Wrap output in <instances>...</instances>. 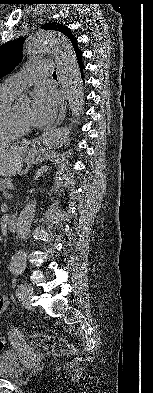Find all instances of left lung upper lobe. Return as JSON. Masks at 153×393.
Instances as JSON below:
<instances>
[{
	"mask_svg": "<svg viewBox=\"0 0 153 393\" xmlns=\"http://www.w3.org/2000/svg\"><path fill=\"white\" fill-rule=\"evenodd\" d=\"M42 28L45 30H55L63 33L65 36H67L70 39L75 49V52H79V49L77 47V40L72 35V32L66 25L57 22H50L44 24ZM21 44H22V40L19 39L17 41L14 40L0 46V78L4 77L5 75L13 71L14 68L20 62Z\"/></svg>",
	"mask_w": 153,
	"mask_h": 393,
	"instance_id": "5c2ea615",
	"label": "left lung upper lobe"
}]
</instances>
